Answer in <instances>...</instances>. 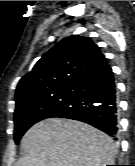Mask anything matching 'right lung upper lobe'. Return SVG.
I'll use <instances>...</instances> for the list:
<instances>
[{"label":"right lung upper lobe","mask_w":135,"mask_h":166,"mask_svg":"<svg viewBox=\"0 0 135 166\" xmlns=\"http://www.w3.org/2000/svg\"><path fill=\"white\" fill-rule=\"evenodd\" d=\"M107 62L91 38L72 35L61 40L23 76L16 88V107L52 95Z\"/></svg>","instance_id":"obj_1"}]
</instances>
